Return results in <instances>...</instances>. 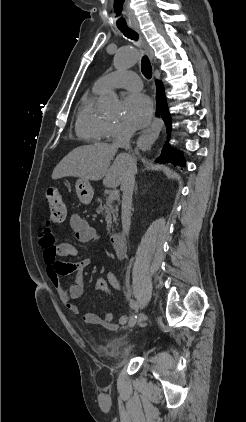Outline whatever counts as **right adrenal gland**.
I'll return each instance as SVG.
<instances>
[{"instance_id":"1","label":"right adrenal gland","mask_w":246,"mask_h":422,"mask_svg":"<svg viewBox=\"0 0 246 422\" xmlns=\"http://www.w3.org/2000/svg\"><path fill=\"white\" fill-rule=\"evenodd\" d=\"M135 190H136V191L138 190L137 185H136V187H135Z\"/></svg>"}]
</instances>
